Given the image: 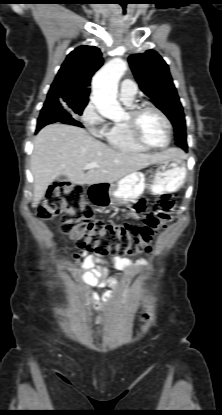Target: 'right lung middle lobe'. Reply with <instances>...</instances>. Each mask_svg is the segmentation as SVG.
Instances as JSON below:
<instances>
[{"mask_svg": "<svg viewBox=\"0 0 222 415\" xmlns=\"http://www.w3.org/2000/svg\"><path fill=\"white\" fill-rule=\"evenodd\" d=\"M47 105L49 107H62L66 108L70 113H75L81 115L84 108L87 105V102H78V101H52V102H45L44 106Z\"/></svg>", "mask_w": 222, "mask_h": 415, "instance_id": "dd1d6c3e", "label": "right lung middle lobe"}]
</instances>
